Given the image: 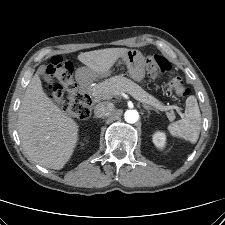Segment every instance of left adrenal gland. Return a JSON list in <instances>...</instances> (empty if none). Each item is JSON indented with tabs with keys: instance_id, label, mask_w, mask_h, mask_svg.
<instances>
[{
	"instance_id": "a2214340",
	"label": "left adrenal gland",
	"mask_w": 225,
	"mask_h": 225,
	"mask_svg": "<svg viewBox=\"0 0 225 225\" xmlns=\"http://www.w3.org/2000/svg\"><path fill=\"white\" fill-rule=\"evenodd\" d=\"M143 107L149 112V110H154L153 108L149 107L146 104H143Z\"/></svg>"
}]
</instances>
